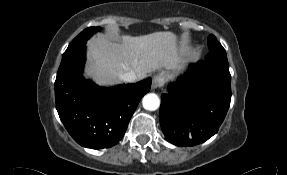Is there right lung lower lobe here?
<instances>
[{
	"mask_svg": "<svg viewBox=\"0 0 287 175\" xmlns=\"http://www.w3.org/2000/svg\"><path fill=\"white\" fill-rule=\"evenodd\" d=\"M84 39L67 49L55 81L56 109L65 128L81 146L110 148L123 137L151 78L135 84L100 87L83 77Z\"/></svg>",
	"mask_w": 287,
	"mask_h": 175,
	"instance_id": "98d812e1",
	"label": "right lung lower lobe"
}]
</instances>
